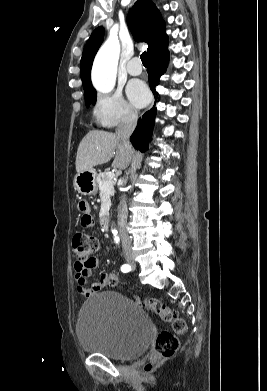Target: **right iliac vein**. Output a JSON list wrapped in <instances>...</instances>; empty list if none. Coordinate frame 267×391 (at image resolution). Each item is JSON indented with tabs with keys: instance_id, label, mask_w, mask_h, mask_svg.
<instances>
[{
	"instance_id": "right-iliac-vein-1",
	"label": "right iliac vein",
	"mask_w": 267,
	"mask_h": 391,
	"mask_svg": "<svg viewBox=\"0 0 267 391\" xmlns=\"http://www.w3.org/2000/svg\"><path fill=\"white\" fill-rule=\"evenodd\" d=\"M126 260L130 266L135 267V262L131 255H127Z\"/></svg>"
}]
</instances>
